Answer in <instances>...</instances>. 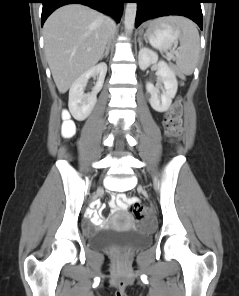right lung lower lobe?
I'll return each mask as SVG.
<instances>
[{
	"mask_svg": "<svg viewBox=\"0 0 239 296\" xmlns=\"http://www.w3.org/2000/svg\"><path fill=\"white\" fill-rule=\"evenodd\" d=\"M43 3L41 25L47 17L57 8L72 3H80L96 9L120 21L124 0H40Z\"/></svg>",
	"mask_w": 239,
	"mask_h": 296,
	"instance_id": "right-lung-lower-lobe-1",
	"label": "right lung lower lobe"
}]
</instances>
